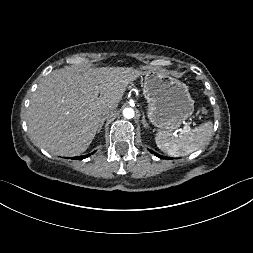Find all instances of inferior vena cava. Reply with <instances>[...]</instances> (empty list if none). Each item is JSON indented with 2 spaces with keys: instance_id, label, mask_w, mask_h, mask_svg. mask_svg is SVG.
<instances>
[{
  "instance_id": "602c4592",
  "label": "inferior vena cava",
  "mask_w": 253,
  "mask_h": 253,
  "mask_svg": "<svg viewBox=\"0 0 253 253\" xmlns=\"http://www.w3.org/2000/svg\"><path fill=\"white\" fill-rule=\"evenodd\" d=\"M117 108L116 104H110L103 108L102 110V116H108L110 113H112Z\"/></svg>"
}]
</instances>
